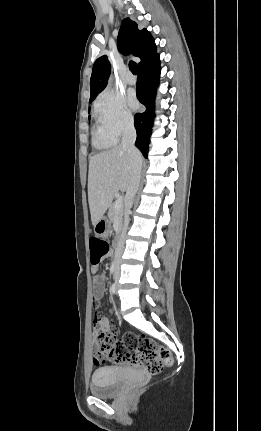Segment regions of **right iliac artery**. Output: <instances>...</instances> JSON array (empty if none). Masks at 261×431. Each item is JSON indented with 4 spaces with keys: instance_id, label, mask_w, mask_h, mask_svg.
Wrapping results in <instances>:
<instances>
[{
    "instance_id": "right-iliac-artery-1",
    "label": "right iliac artery",
    "mask_w": 261,
    "mask_h": 431,
    "mask_svg": "<svg viewBox=\"0 0 261 431\" xmlns=\"http://www.w3.org/2000/svg\"><path fill=\"white\" fill-rule=\"evenodd\" d=\"M110 292L112 295L115 294V292H116V284L115 283L112 284Z\"/></svg>"
}]
</instances>
